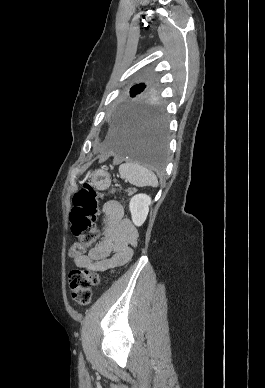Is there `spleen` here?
Returning <instances> with one entry per match:
<instances>
[{
  "mask_svg": "<svg viewBox=\"0 0 265 388\" xmlns=\"http://www.w3.org/2000/svg\"><path fill=\"white\" fill-rule=\"evenodd\" d=\"M119 174L121 178H126L133 186H157V178L154 172L140 166V164H133V162H126L119 166Z\"/></svg>",
  "mask_w": 265,
  "mask_h": 388,
  "instance_id": "obj_1",
  "label": "spleen"
}]
</instances>
